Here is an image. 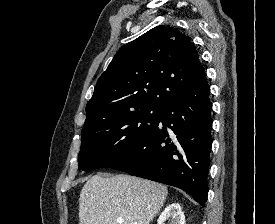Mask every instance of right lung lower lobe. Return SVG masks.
I'll return each instance as SVG.
<instances>
[{"mask_svg": "<svg viewBox=\"0 0 275 224\" xmlns=\"http://www.w3.org/2000/svg\"><path fill=\"white\" fill-rule=\"evenodd\" d=\"M211 108L203 73L163 109L159 119L163 127L158 123L145 140L108 167L178 187L204 207L212 145Z\"/></svg>", "mask_w": 275, "mask_h": 224, "instance_id": "1", "label": "right lung lower lobe"}]
</instances>
